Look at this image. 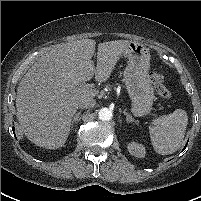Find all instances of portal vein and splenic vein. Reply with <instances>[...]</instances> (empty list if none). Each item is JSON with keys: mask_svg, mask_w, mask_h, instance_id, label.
I'll return each mask as SVG.
<instances>
[{"mask_svg": "<svg viewBox=\"0 0 201 201\" xmlns=\"http://www.w3.org/2000/svg\"><path fill=\"white\" fill-rule=\"evenodd\" d=\"M93 89V85L92 84H83L79 90H83V91H90Z\"/></svg>", "mask_w": 201, "mask_h": 201, "instance_id": "obj_1", "label": "portal vein and splenic vein"}]
</instances>
